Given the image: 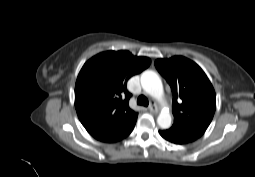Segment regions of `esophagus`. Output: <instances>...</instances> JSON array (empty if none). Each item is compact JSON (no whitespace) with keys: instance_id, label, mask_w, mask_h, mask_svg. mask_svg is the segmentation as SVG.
Returning <instances> with one entry per match:
<instances>
[{"instance_id":"34e87169","label":"esophagus","mask_w":255,"mask_h":177,"mask_svg":"<svg viewBox=\"0 0 255 177\" xmlns=\"http://www.w3.org/2000/svg\"><path fill=\"white\" fill-rule=\"evenodd\" d=\"M149 110H150L152 113H158V112H159L158 107H157L156 104H154V103H152V104L149 106Z\"/></svg>"}]
</instances>
